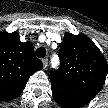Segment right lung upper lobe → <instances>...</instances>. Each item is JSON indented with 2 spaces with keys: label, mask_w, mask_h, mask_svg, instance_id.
Returning a JSON list of instances; mask_svg holds the SVG:
<instances>
[{
  "label": "right lung upper lobe",
  "mask_w": 108,
  "mask_h": 108,
  "mask_svg": "<svg viewBox=\"0 0 108 108\" xmlns=\"http://www.w3.org/2000/svg\"><path fill=\"white\" fill-rule=\"evenodd\" d=\"M42 68L31 43L21 42L17 32L0 33V100L18 97L29 77Z\"/></svg>",
  "instance_id": "cb5924a9"
}]
</instances>
